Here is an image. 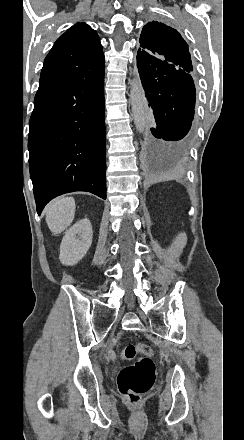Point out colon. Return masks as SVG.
Returning <instances> with one entry per match:
<instances>
[{"label":"colon","mask_w":244,"mask_h":440,"mask_svg":"<svg viewBox=\"0 0 244 440\" xmlns=\"http://www.w3.org/2000/svg\"><path fill=\"white\" fill-rule=\"evenodd\" d=\"M122 360L134 361L125 367L118 376L120 393L134 404L142 395L148 393L155 382V366L152 351L141 342L126 345L120 353Z\"/></svg>","instance_id":"colon-1"}]
</instances>
